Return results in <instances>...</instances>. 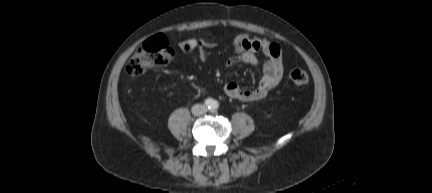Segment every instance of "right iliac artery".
<instances>
[{
	"label": "right iliac artery",
	"mask_w": 432,
	"mask_h": 193,
	"mask_svg": "<svg viewBox=\"0 0 432 193\" xmlns=\"http://www.w3.org/2000/svg\"><path fill=\"white\" fill-rule=\"evenodd\" d=\"M212 104H213V100L212 99H206L205 100V106L207 107V108H211L212 107Z\"/></svg>",
	"instance_id": "1"
}]
</instances>
